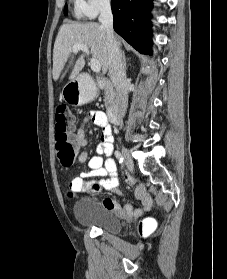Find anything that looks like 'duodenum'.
Listing matches in <instances>:
<instances>
[{
  "mask_svg": "<svg viewBox=\"0 0 227 279\" xmlns=\"http://www.w3.org/2000/svg\"><path fill=\"white\" fill-rule=\"evenodd\" d=\"M103 82H106V80H103ZM92 100H87L85 102H83V104H88L90 103ZM121 116H122V111L120 108H111L108 111V117L109 120L113 123V124H119L121 121Z\"/></svg>",
  "mask_w": 227,
  "mask_h": 279,
  "instance_id": "obj_1",
  "label": "duodenum"
}]
</instances>
